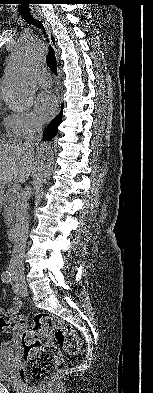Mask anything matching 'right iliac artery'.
Segmentation results:
<instances>
[{
  "instance_id": "82829eb1",
  "label": "right iliac artery",
  "mask_w": 153,
  "mask_h": 393,
  "mask_svg": "<svg viewBox=\"0 0 153 393\" xmlns=\"http://www.w3.org/2000/svg\"><path fill=\"white\" fill-rule=\"evenodd\" d=\"M1 279H2L3 282L9 283L12 280V275H11V273L9 271H4L1 274Z\"/></svg>"
}]
</instances>
